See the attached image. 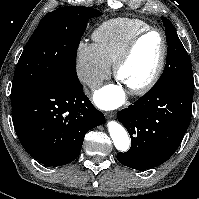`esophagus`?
I'll return each mask as SVG.
<instances>
[{"label":"esophagus","instance_id":"1","mask_svg":"<svg viewBox=\"0 0 199 199\" xmlns=\"http://www.w3.org/2000/svg\"><path fill=\"white\" fill-rule=\"evenodd\" d=\"M115 115H116L115 112H108V113H106V116H107L108 118H114Z\"/></svg>","mask_w":199,"mask_h":199}]
</instances>
